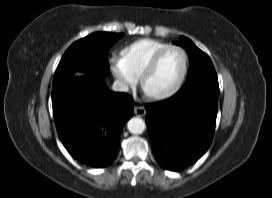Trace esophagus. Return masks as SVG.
I'll return each mask as SVG.
<instances>
[{"mask_svg":"<svg viewBox=\"0 0 272 198\" xmlns=\"http://www.w3.org/2000/svg\"><path fill=\"white\" fill-rule=\"evenodd\" d=\"M134 114L139 116V117H142V116H144L146 114V110H145L144 107L136 105L134 107Z\"/></svg>","mask_w":272,"mask_h":198,"instance_id":"34e87169","label":"esophagus"}]
</instances>
